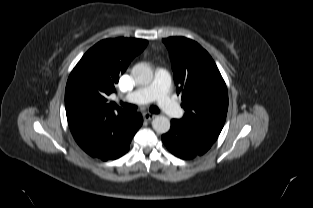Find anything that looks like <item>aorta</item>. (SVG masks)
I'll return each mask as SVG.
<instances>
[{
    "label": "aorta",
    "instance_id": "1",
    "mask_svg": "<svg viewBox=\"0 0 313 208\" xmlns=\"http://www.w3.org/2000/svg\"><path fill=\"white\" fill-rule=\"evenodd\" d=\"M132 75L140 85H148L153 80V70L146 63L136 64L132 69ZM170 126V120L163 115L156 116L152 121L153 129L159 134L167 133Z\"/></svg>",
    "mask_w": 313,
    "mask_h": 208
}]
</instances>
